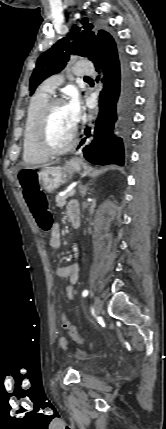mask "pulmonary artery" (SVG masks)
Masks as SVG:
<instances>
[{
	"label": "pulmonary artery",
	"mask_w": 166,
	"mask_h": 429,
	"mask_svg": "<svg viewBox=\"0 0 166 429\" xmlns=\"http://www.w3.org/2000/svg\"><path fill=\"white\" fill-rule=\"evenodd\" d=\"M73 72L76 76L83 77L93 73V69L88 62H78L73 67ZM61 77L53 76L43 87L44 91L53 93L55 88L60 84Z\"/></svg>",
	"instance_id": "obj_1"
}]
</instances>
